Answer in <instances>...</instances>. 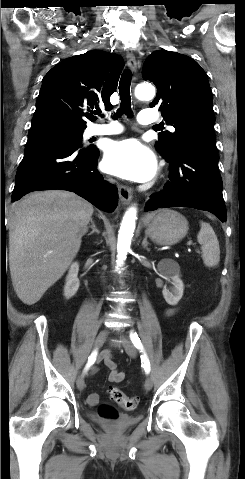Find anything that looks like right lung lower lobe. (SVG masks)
<instances>
[{
  "mask_svg": "<svg viewBox=\"0 0 245 479\" xmlns=\"http://www.w3.org/2000/svg\"><path fill=\"white\" fill-rule=\"evenodd\" d=\"M69 140H54L29 150L16 174L13 202L32 191L61 189L112 212L118 204L117 188L97 171L99 151Z\"/></svg>",
  "mask_w": 245,
  "mask_h": 479,
  "instance_id": "98d812e1",
  "label": "right lung lower lobe"
}]
</instances>
